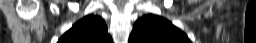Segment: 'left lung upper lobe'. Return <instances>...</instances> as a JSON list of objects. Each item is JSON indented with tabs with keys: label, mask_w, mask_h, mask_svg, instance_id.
I'll use <instances>...</instances> for the list:
<instances>
[{
	"label": "left lung upper lobe",
	"mask_w": 256,
	"mask_h": 43,
	"mask_svg": "<svg viewBox=\"0 0 256 43\" xmlns=\"http://www.w3.org/2000/svg\"><path fill=\"white\" fill-rule=\"evenodd\" d=\"M129 43H191V41L168 20L148 14L135 22Z\"/></svg>",
	"instance_id": "1"
}]
</instances>
